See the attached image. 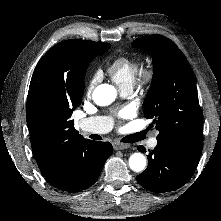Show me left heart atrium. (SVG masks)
Masks as SVG:
<instances>
[{
	"instance_id": "left-heart-atrium-1",
	"label": "left heart atrium",
	"mask_w": 221,
	"mask_h": 221,
	"mask_svg": "<svg viewBox=\"0 0 221 221\" xmlns=\"http://www.w3.org/2000/svg\"><path fill=\"white\" fill-rule=\"evenodd\" d=\"M128 111L127 109H122L120 112H119V116L120 117H125L127 115Z\"/></svg>"
}]
</instances>
